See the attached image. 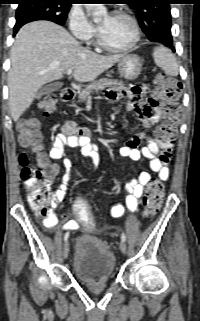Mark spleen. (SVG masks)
<instances>
[{"mask_svg": "<svg viewBox=\"0 0 200 321\" xmlns=\"http://www.w3.org/2000/svg\"><path fill=\"white\" fill-rule=\"evenodd\" d=\"M155 64L163 69L168 76L176 77L179 72V66L175 55L164 46H157L153 51Z\"/></svg>", "mask_w": 200, "mask_h": 321, "instance_id": "1", "label": "spleen"}]
</instances>
